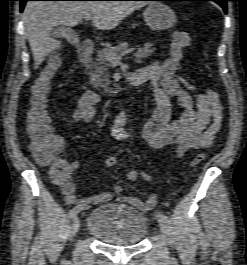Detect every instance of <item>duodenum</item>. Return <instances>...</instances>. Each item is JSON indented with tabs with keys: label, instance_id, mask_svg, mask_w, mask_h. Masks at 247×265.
<instances>
[{
	"label": "duodenum",
	"instance_id": "410a0bca",
	"mask_svg": "<svg viewBox=\"0 0 247 265\" xmlns=\"http://www.w3.org/2000/svg\"><path fill=\"white\" fill-rule=\"evenodd\" d=\"M94 51V44L91 40H84L78 48V65L80 67V77L86 91L91 90L87 75V68ZM127 82L132 86H139L145 83V80L137 79L134 72H129L126 76Z\"/></svg>",
	"mask_w": 247,
	"mask_h": 265
}]
</instances>
